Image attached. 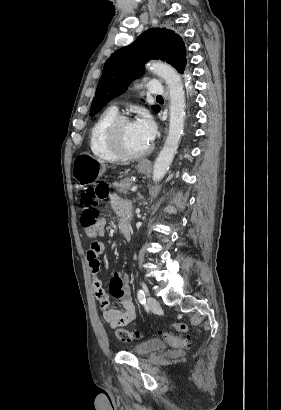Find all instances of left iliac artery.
Segmentation results:
<instances>
[{"mask_svg": "<svg viewBox=\"0 0 281 410\" xmlns=\"http://www.w3.org/2000/svg\"><path fill=\"white\" fill-rule=\"evenodd\" d=\"M137 298H138V301H139L141 304L146 303L145 293H144V291H143L142 289H139V290L137 291Z\"/></svg>", "mask_w": 281, "mask_h": 410, "instance_id": "1", "label": "left iliac artery"}]
</instances>
